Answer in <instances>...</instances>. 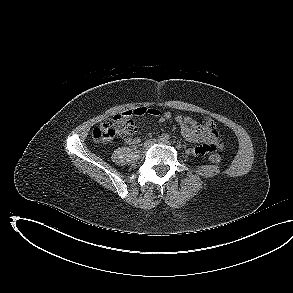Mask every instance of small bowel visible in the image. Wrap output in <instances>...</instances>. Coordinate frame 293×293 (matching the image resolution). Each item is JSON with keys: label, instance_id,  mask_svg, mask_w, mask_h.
Wrapping results in <instances>:
<instances>
[{"label": "small bowel", "instance_id": "small-bowel-1", "mask_svg": "<svg viewBox=\"0 0 293 293\" xmlns=\"http://www.w3.org/2000/svg\"><path fill=\"white\" fill-rule=\"evenodd\" d=\"M145 114L159 116L161 122L174 118V120L180 125L182 136L190 142L199 144L193 149V153L195 154H201L199 152L201 147L207 148V153H211L220 149L222 146L215 124L211 119H206L203 123H198L195 119L189 116H182L180 114L172 116L169 111L161 114L156 109L146 107H139L134 110L126 111L123 115L125 117H131L132 115L142 116ZM125 142L129 145H137L140 143V138L126 137Z\"/></svg>", "mask_w": 293, "mask_h": 293}]
</instances>
